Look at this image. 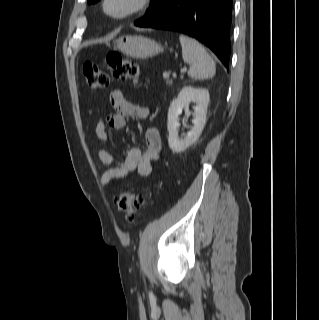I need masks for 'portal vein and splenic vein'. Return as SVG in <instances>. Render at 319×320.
Wrapping results in <instances>:
<instances>
[{
  "label": "portal vein and splenic vein",
  "instance_id": "obj_1",
  "mask_svg": "<svg viewBox=\"0 0 319 320\" xmlns=\"http://www.w3.org/2000/svg\"><path fill=\"white\" fill-rule=\"evenodd\" d=\"M169 76H170L169 73H167V72H164V73H163V78L168 79Z\"/></svg>",
  "mask_w": 319,
  "mask_h": 320
}]
</instances>
